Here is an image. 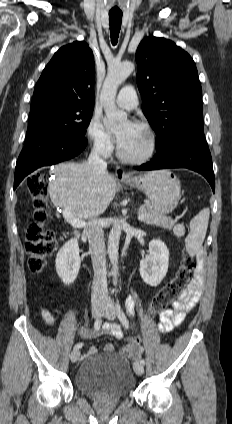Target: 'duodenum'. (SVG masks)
Returning a JSON list of instances; mask_svg holds the SVG:
<instances>
[{"mask_svg": "<svg viewBox=\"0 0 232 424\" xmlns=\"http://www.w3.org/2000/svg\"><path fill=\"white\" fill-rule=\"evenodd\" d=\"M80 236H81V235H80V232H79V231H75V232H74V237H75L76 239H78V240H79V239H80Z\"/></svg>", "mask_w": 232, "mask_h": 424, "instance_id": "1", "label": "duodenum"}]
</instances>
